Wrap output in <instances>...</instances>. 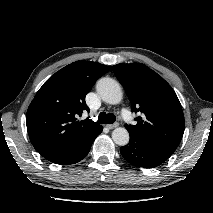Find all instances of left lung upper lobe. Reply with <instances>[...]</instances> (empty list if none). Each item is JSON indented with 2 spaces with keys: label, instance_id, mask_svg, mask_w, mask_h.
<instances>
[{
  "label": "left lung upper lobe",
  "instance_id": "1",
  "mask_svg": "<svg viewBox=\"0 0 213 213\" xmlns=\"http://www.w3.org/2000/svg\"><path fill=\"white\" fill-rule=\"evenodd\" d=\"M132 102V111L143 113L135 125H125L142 143L173 153L179 145L185 121L180 101L172 87L141 63L112 66Z\"/></svg>",
  "mask_w": 213,
  "mask_h": 213
}]
</instances>
